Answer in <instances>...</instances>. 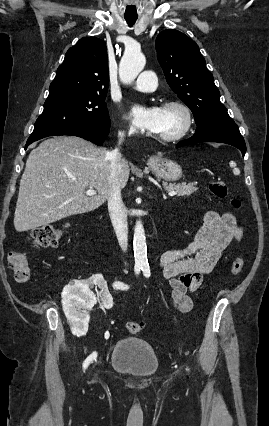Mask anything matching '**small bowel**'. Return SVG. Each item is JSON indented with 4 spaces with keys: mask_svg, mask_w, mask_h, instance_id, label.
I'll use <instances>...</instances> for the list:
<instances>
[{
    "mask_svg": "<svg viewBox=\"0 0 269 426\" xmlns=\"http://www.w3.org/2000/svg\"><path fill=\"white\" fill-rule=\"evenodd\" d=\"M242 234V228L232 212L207 211L194 240L188 246L161 253L159 264L164 278L172 287L171 302L178 311L186 313L193 308L189 293L201 286L203 276L212 271L232 243L241 240Z\"/></svg>",
    "mask_w": 269,
    "mask_h": 426,
    "instance_id": "c3829d8e",
    "label": "small bowel"
}]
</instances>
